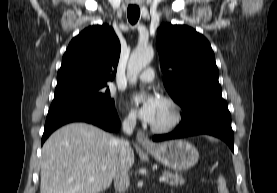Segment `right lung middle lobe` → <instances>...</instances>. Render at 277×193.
<instances>
[{
  "label": "right lung middle lobe",
  "mask_w": 277,
  "mask_h": 193,
  "mask_svg": "<svg viewBox=\"0 0 277 193\" xmlns=\"http://www.w3.org/2000/svg\"><path fill=\"white\" fill-rule=\"evenodd\" d=\"M54 99H72L99 105L104 108H114V100L106 85L83 87L68 91L55 92Z\"/></svg>",
  "instance_id": "dd1d6c3e"
}]
</instances>
